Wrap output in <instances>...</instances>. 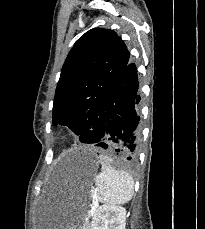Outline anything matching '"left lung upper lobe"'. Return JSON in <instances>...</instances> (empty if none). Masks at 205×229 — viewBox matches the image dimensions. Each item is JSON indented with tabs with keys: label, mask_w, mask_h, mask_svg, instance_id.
Returning <instances> with one entry per match:
<instances>
[{
	"label": "left lung upper lobe",
	"mask_w": 205,
	"mask_h": 229,
	"mask_svg": "<svg viewBox=\"0 0 205 229\" xmlns=\"http://www.w3.org/2000/svg\"><path fill=\"white\" fill-rule=\"evenodd\" d=\"M129 58L124 41L114 31L95 28L83 34L61 70L53 124L68 126L87 143V129L102 124L109 93Z\"/></svg>",
	"instance_id": "5c2ea615"
}]
</instances>
